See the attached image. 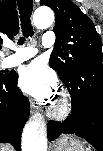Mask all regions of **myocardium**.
I'll return each instance as SVG.
<instances>
[{
    "label": "myocardium",
    "mask_w": 103,
    "mask_h": 151,
    "mask_svg": "<svg viewBox=\"0 0 103 151\" xmlns=\"http://www.w3.org/2000/svg\"><path fill=\"white\" fill-rule=\"evenodd\" d=\"M71 113L70 98L66 93L60 94L49 109L50 116L57 121H64Z\"/></svg>",
    "instance_id": "1"
}]
</instances>
